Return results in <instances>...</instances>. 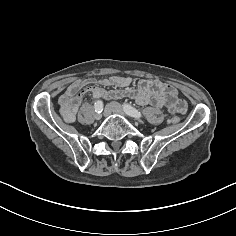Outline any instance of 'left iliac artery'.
<instances>
[{"mask_svg": "<svg viewBox=\"0 0 236 236\" xmlns=\"http://www.w3.org/2000/svg\"><path fill=\"white\" fill-rule=\"evenodd\" d=\"M123 109H124L125 113L127 115L131 116V117H134V118H137V119L142 117L141 112H139L136 108L132 107L129 104L124 103L123 104Z\"/></svg>", "mask_w": 236, "mask_h": 236, "instance_id": "44dca946", "label": "left iliac artery"}]
</instances>
